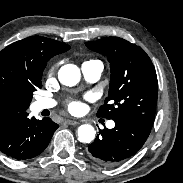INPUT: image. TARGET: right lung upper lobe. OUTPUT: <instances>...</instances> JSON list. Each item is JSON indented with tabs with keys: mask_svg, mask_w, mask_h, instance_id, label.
<instances>
[{
	"mask_svg": "<svg viewBox=\"0 0 183 183\" xmlns=\"http://www.w3.org/2000/svg\"><path fill=\"white\" fill-rule=\"evenodd\" d=\"M69 49L65 43L33 36L0 52V126L11 116L28 109L27 89L41 81L50 58Z\"/></svg>",
	"mask_w": 183,
	"mask_h": 183,
	"instance_id": "1",
	"label": "right lung upper lobe"
}]
</instances>
